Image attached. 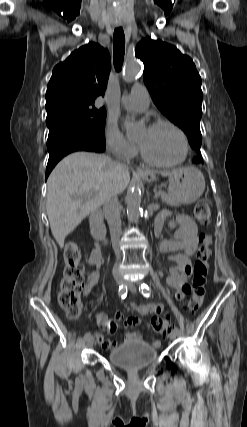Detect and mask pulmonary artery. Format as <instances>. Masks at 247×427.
<instances>
[{"mask_svg":"<svg viewBox=\"0 0 247 427\" xmlns=\"http://www.w3.org/2000/svg\"><path fill=\"white\" fill-rule=\"evenodd\" d=\"M121 102L128 109L143 111L149 106L150 97L145 86L136 84L130 94L121 98Z\"/></svg>","mask_w":247,"mask_h":427,"instance_id":"pulmonary-artery-1","label":"pulmonary artery"}]
</instances>
